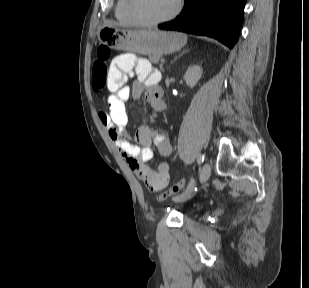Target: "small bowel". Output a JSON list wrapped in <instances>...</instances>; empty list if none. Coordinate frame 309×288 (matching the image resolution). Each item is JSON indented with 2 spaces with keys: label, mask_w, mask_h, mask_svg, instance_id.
I'll return each mask as SVG.
<instances>
[{
  "label": "small bowel",
  "mask_w": 309,
  "mask_h": 288,
  "mask_svg": "<svg viewBox=\"0 0 309 288\" xmlns=\"http://www.w3.org/2000/svg\"><path fill=\"white\" fill-rule=\"evenodd\" d=\"M136 75L137 81L127 85L128 76ZM158 73L147 59L135 54L124 53L113 59L110 65L107 111L100 114L109 137L122 154L129 167L138 175L145 186L153 192L162 190L169 182L170 165L160 160L155 168L149 162L153 159L152 147L161 158L172 155V142L164 131L148 125L139 126L131 137L126 132L128 122L125 103L132 97L144 95L151 109L163 112L166 109L163 91L157 84ZM136 142V143H134Z\"/></svg>",
  "instance_id": "obj_1"
}]
</instances>
